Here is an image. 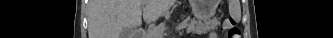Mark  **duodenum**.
<instances>
[{"label": "duodenum", "mask_w": 333, "mask_h": 38, "mask_svg": "<svg viewBox=\"0 0 333 38\" xmlns=\"http://www.w3.org/2000/svg\"><path fill=\"white\" fill-rule=\"evenodd\" d=\"M140 36H141V38H143V36H144V31H141V32H140Z\"/></svg>", "instance_id": "1"}]
</instances>
